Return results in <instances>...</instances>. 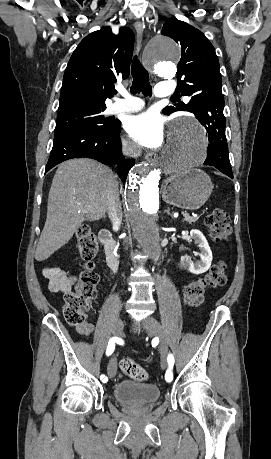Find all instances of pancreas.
I'll return each mask as SVG.
<instances>
[{
	"label": "pancreas",
	"instance_id": "cf45deb5",
	"mask_svg": "<svg viewBox=\"0 0 271 459\" xmlns=\"http://www.w3.org/2000/svg\"><path fill=\"white\" fill-rule=\"evenodd\" d=\"M184 220L185 222H189V224H192V222H197L198 218H193V216H188V217L184 216Z\"/></svg>",
	"mask_w": 271,
	"mask_h": 459
}]
</instances>
